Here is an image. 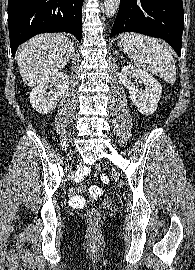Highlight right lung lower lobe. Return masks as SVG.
Masks as SVG:
<instances>
[{
	"instance_id": "1",
	"label": "right lung lower lobe",
	"mask_w": 195,
	"mask_h": 270,
	"mask_svg": "<svg viewBox=\"0 0 195 270\" xmlns=\"http://www.w3.org/2000/svg\"><path fill=\"white\" fill-rule=\"evenodd\" d=\"M83 0H8L10 47L46 32H68L82 38Z\"/></svg>"
}]
</instances>
